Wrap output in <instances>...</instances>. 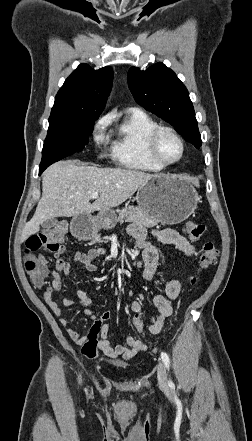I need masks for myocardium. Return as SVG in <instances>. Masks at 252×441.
I'll use <instances>...</instances> for the list:
<instances>
[{"instance_id": "myocardium-1", "label": "myocardium", "mask_w": 252, "mask_h": 441, "mask_svg": "<svg viewBox=\"0 0 252 441\" xmlns=\"http://www.w3.org/2000/svg\"><path fill=\"white\" fill-rule=\"evenodd\" d=\"M163 134H169L179 142L181 146V153L177 159L172 161H165L159 156L157 145L159 138ZM185 151H186V145L183 138L171 127L159 125L147 137V152L150 158L163 168L169 167L171 165L180 162L185 155Z\"/></svg>"}]
</instances>
